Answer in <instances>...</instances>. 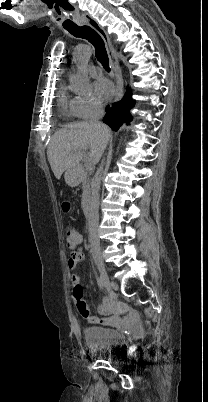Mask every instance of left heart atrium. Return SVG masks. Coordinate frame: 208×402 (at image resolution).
Returning <instances> with one entry per match:
<instances>
[{
    "instance_id": "39dd6f15",
    "label": "left heart atrium",
    "mask_w": 208,
    "mask_h": 402,
    "mask_svg": "<svg viewBox=\"0 0 208 402\" xmlns=\"http://www.w3.org/2000/svg\"><path fill=\"white\" fill-rule=\"evenodd\" d=\"M95 91L99 99L109 102L114 98L115 88L113 84L104 77H98L95 81Z\"/></svg>"
}]
</instances>
